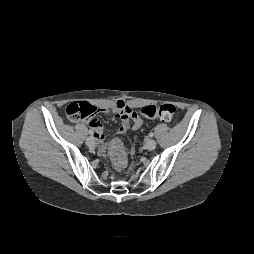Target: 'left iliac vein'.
I'll list each match as a JSON object with an SVG mask.
<instances>
[{
	"label": "left iliac vein",
	"mask_w": 254,
	"mask_h": 254,
	"mask_svg": "<svg viewBox=\"0 0 254 254\" xmlns=\"http://www.w3.org/2000/svg\"><path fill=\"white\" fill-rule=\"evenodd\" d=\"M156 147V141L154 139H148L146 141V149L149 151L154 150Z\"/></svg>",
	"instance_id": "1"
}]
</instances>
